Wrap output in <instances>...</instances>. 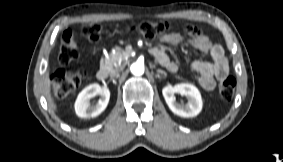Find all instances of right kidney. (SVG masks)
<instances>
[{"label": "right kidney", "instance_id": "1", "mask_svg": "<svg viewBox=\"0 0 283 162\" xmlns=\"http://www.w3.org/2000/svg\"><path fill=\"white\" fill-rule=\"evenodd\" d=\"M100 95L96 105L90 104V99ZM110 98V91L106 87H101L94 83L84 88L78 95L75 102V112L81 118H93L101 114L107 107Z\"/></svg>", "mask_w": 283, "mask_h": 162}]
</instances>
